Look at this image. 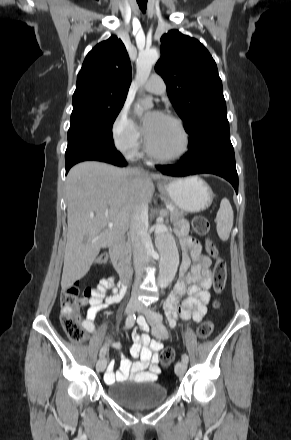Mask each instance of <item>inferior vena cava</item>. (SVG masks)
Returning <instances> with one entry per match:
<instances>
[{"label": "inferior vena cava", "instance_id": "602c4592", "mask_svg": "<svg viewBox=\"0 0 291 440\" xmlns=\"http://www.w3.org/2000/svg\"><path fill=\"white\" fill-rule=\"evenodd\" d=\"M130 241L133 249V262L136 274L131 301L140 305L138 286L143 277V267L149 263L153 245L148 234V210L146 206H137L130 220Z\"/></svg>", "mask_w": 291, "mask_h": 440}]
</instances>
